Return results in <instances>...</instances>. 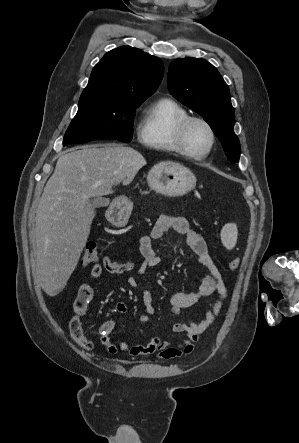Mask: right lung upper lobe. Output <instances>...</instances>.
Returning <instances> with one entry per match:
<instances>
[{
	"mask_svg": "<svg viewBox=\"0 0 299 443\" xmlns=\"http://www.w3.org/2000/svg\"><path fill=\"white\" fill-rule=\"evenodd\" d=\"M162 61L140 49L122 46L109 51L94 66L82 95L144 101L161 83Z\"/></svg>",
	"mask_w": 299,
	"mask_h": 443,
	"instance_id": "obj_1",
	"label": "right lung upper lobe"
}]
</instances>
